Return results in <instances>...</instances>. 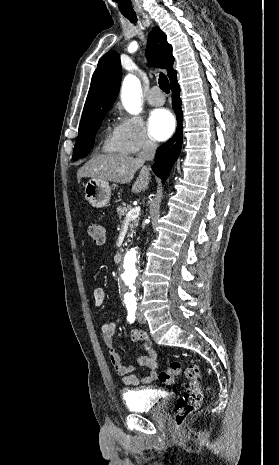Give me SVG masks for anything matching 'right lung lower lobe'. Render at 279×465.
Instances as JSON below:
<instances>
[{
	"instance_id": "1",
	"label": "right lung lower lobe",
	"mask_w": 279,
	"mask_h": 465,
	"mask_svg": "<svg viewBox=\"0 0 279 465\" xmlns=\"http://www.w3.org/2000/svg\"><path fill=\"white\" fill-rule=\"evenodd\" d=\"M171 90L173 92L172 105L176 113L177 122H178L177 132L166 143L158 147L157 152H156L155 163L153 165L154 173L162 179L163 183L167 179L173 163L175 162V160L178 158L180 154L181 147H182V140H183V137H182L183 135V131H182L183 130V126H182L183 112L181 109V99L179 95L180 87H179V84L177 83V80L171 84Z\"/></svg>"
}]
</instances>
